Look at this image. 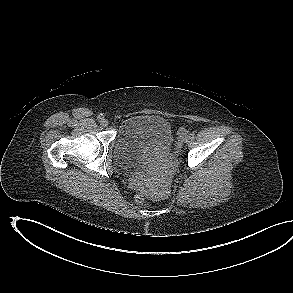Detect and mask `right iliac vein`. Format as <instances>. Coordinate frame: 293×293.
Masks as SVG:
<instances>
[{
	"label": "right iliac vein",
	"mask_w": 293,
	"mask_h": 293,
	"mask_svg": "<svg viewBox=\"0 0 293 293\" xmlns=\"http://www.w3.org/2000/svg\"><path fill=\"white\" fill-rule=\"evenodd\" d=\"M101 125L104 126V127H106V126L108 125V120L105 119V118H103V119L101 120Z\"/></svg>",
	"instance_id": "1"
}]
</instances>
